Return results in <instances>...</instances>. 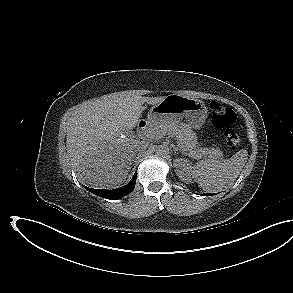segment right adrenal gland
Masks as SVG:
<instances>
[{
  "label": "right adrenal gland",
  "instance_id": "obj_1",
  "mask_svg": "<svg viewBox=\"0 0 293 293\" xmlns=\"http://www.w3.org/2000/svg\"><path fill=\"white\" fill-rule=\"evenodd\" d=\"M134 157H135V156H133V158H134ZM133 161H134V160L132 159V162H131V164L133 163Z\"/></svg>",
  "mask_w": 293,
  "mask_h": 293
}]
</instances>
